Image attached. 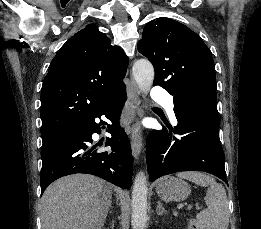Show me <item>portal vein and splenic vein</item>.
Returning a JSON list of instances; mask_svg holds the SVG:
<instances>
[{
  "label": "portal vein and splenic vein",
  "mask_w": 261,
  "mask_h": 229,
  "mask_svg": "<svg viewBox=\"0 0 261 229\" xmlns=\"http://www.w3.org/2000/svg\"><path fill=\"white\" fill-rule=\"evenodd\" d=\"M177 207H179L180 210H184L185 207H187V204H185V203H179V204H177ZM195 207H196V208H200V207H201V204H200V203H196V204H195ZM188 209H192V205H188ZM171 217H172V218H177V217H178V211H177V210H174L173 213L171 214Z\"/></svg>",
  "instance_id": "obj_1"
}]
</instances>
